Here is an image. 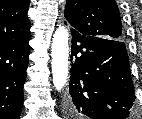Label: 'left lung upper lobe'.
Instances as JSON below:
<instances>
[{"instance_id":"left-lung-upper-lobe-1","label":"left lung upper lobe","mask_w":142,"mask_h":119,"mask_svg":"<svg viewBox=\"0 0 142 119\" xmlns=\"http://www.w3.org/2000/svg\"><path fill=\"white\" fill-rule=\"evenodd\" d=\"M64 15L72 29L81 35L123 40L115 0H67Z\"/></svg>"}]
</instances>
